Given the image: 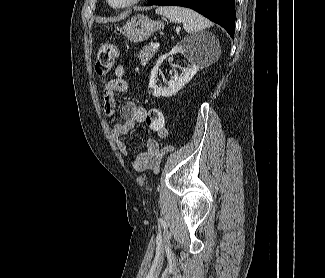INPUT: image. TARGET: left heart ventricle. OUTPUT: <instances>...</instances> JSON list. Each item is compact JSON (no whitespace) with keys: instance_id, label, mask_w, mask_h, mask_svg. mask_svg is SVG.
<instances>
[{"instance_id":"b2bd125f","label":"left heart ventricle","mask_w":325,"mask_h":278,"mask_svg":"<svg viewBox=\"0 0 325 278\" xmlns=\"http://www.w3.org/2000/svg\"><path fill=\"white\" fill-rule=\"evenodd\" d=\"M114 4L118 5V4H123L125 2H127L128 0H111Z\"/></svg>"}]
</instances>
